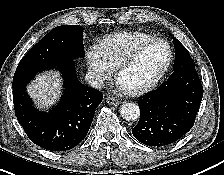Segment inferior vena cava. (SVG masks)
Here are the masks:
<instances>
[{
    "label": "inferior vena cava",
    "instance_id": "inferior-vena-cava-1",
    "mask_svg": "<svg viewBox=\"0 0 224 175\" xmlns=\"http://www.w3.org/2000/svg\"><path fill=\"white\" fill-rule=\"evenodd\" d=\"M87 83L96 89H101L103 87V80L100 75L93 72H88L85 76Z\"/></svg>",
    "mask_w": 224,
    "mask_h": 175
}]
</instances>
